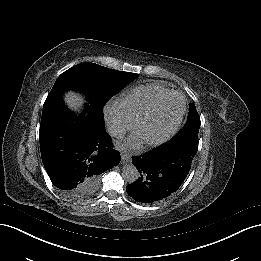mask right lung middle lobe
Masks as SVG:
<instances>
[{
	"mask_svg": "<svg viewBox=\"0 0 261 261\" xmlns=\"http://www.w3.org/2000/svg\"><path fill=\"white\" fill-rule=\"evenodd\" d=\"M136 77L135 73L116 71L95 63L85 62L62 73L51 91L63 92L69 88L86 91L91 103L103 107L113 95ZM85 190L86 188L83 186L77 195Z\"/></svg>",
	"mask_w": 261,
	"mask_h": 261,
	"instance_id": "obj_1",
	"label": "right lung middle lobe"
}]
</instances>
